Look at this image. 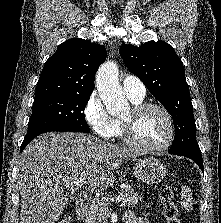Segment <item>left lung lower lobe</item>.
Listing matches in <instances>:
<instances>
[{"mask_svg": "<svg viewBox=\"0 0 221 223\" xmlns=\"http://www.w3.org/2000/svg\"><path fill=\"white\" fill-rule=\"evenodd\" d=\"M168 153L184 156L187 158L192 159L197 165L200 167V169L203 171V161H202V155L200 150H181V151H171L169 150Z\"/></svg>", "mask_w": 221, "mask_h": 223, "instance_id": "1", "label": "left lung lower lobe"}]
</instances>
